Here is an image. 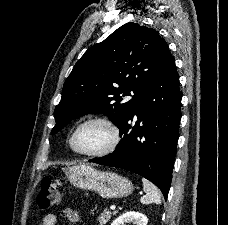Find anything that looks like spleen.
<instances>
[{"mask_svg": "<svg viewBox=\"0 0 228 225\" xmlns=\"http://www.w3.org/2000/svg\"><path fill=\"white\" fill-rule=\"evenodd\" d=\"M142 183L143 191L146 193V195H143V197L140 199L142 205H151V203L160 205L161 197L157 187H155V185H152V183H150V181H147V179H142Z\"/></svg>", "mask_w": 228, "mask_h": 225, "instance_id": "obj_1", "label": "spleen"}]
</instances>
